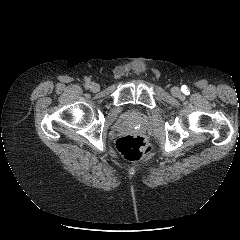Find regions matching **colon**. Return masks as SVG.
<instances>
[{"label": "colon", "mask_w": 240, "mask_h": 240, "mask_svg": "<svg viewBox=\"0 0 240 240\" xmlns=\"http://www.w3.org/2000/svg\"><path fill=\"white\" fill-rule=\"evenodd\" d=\"M116 147L124 158L131 161L146 157L151 151L149 143L138 135L120 137L116 142Z\"/></svg>", "instance_id": "obj_1"}]
</instances>
